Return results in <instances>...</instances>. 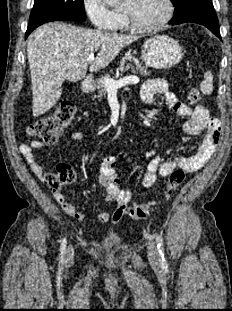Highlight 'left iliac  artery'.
I'll list each match as a JSON object with an SVG mask.
<instances>
[{
  "mask_svg": "<svg viewBox=\"0 0 232 311\" xmlns=\"http://www.w3.org/2000/svg\"><path fill=\"white\" fill-rule=\"evenodd\" d=\"M156 242H157V248L161 257V263L162 265L166 264V260L164 257V242H163V238L160 235L156 236Z\"/></svg>",
  "mask_w": 232,
  "mask_h": 311,
  "instance_id": "obj_1",
  "label": "left iliac artery"
}]
</instances>
